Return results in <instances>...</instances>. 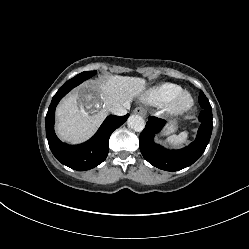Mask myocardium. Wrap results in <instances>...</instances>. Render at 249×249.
<instances>
[{
  "mask_svg": "<svg viewBox=\"0 0 249 249\" xmlns=\"http://www.w3.org/2000/svg\"><path fill=\"white\" fill-rule=\"evenodd\" d=\"M193 104V96L189 92L182 91L168 104L167 110L172 115H182L188 112Z\"/></svg>",
  "mask_w": 249,
  "mask_h": 249,
  "instance_id": "f54148a6",
  "label": "myocardium"
}]
</instances>
